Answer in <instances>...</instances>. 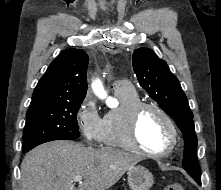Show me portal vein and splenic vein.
<instances>
[{
    "label": "portal vein and splenic vein",
    "mask_w": 221,
    "mask_h": 190,
    "mask_svg": "<svg viewBox=\"0 0 221 190\" xmlns=\"http://www.w3.org/2000/svg\"><path fill=\"white\" fill-rule=\"evenodd\" d=\"M73 181H74V182H80V181H82V176H76V177H74Z\"/></svg>",
    "instance_id": "portal-vein-and-splenic-vein-1"
}]
</instances>
